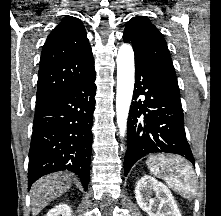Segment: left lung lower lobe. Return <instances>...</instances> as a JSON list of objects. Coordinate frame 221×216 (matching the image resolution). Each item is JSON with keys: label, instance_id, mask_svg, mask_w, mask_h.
<instances>
[{"label": "left lung lower lobe", "instance_id": "0a47b994", "mask_svg": "<svg viewBox=\"0 0 221 216\" xmlns=\"http://www.w3.org/2000/svg\"><path fill=\"white\" fill-rule=\"evenodd\" d=\"M144 95L145 99L139 97ZM127 122L124 173L150 153H174L195 161L186 139L183 109L175 79L135 58V90Z\"/></svg>", "mask_w": 221, "mask_h": 216}]
</instances>
